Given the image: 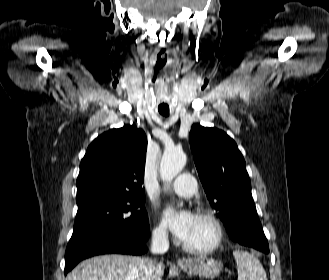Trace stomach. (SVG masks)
<instances>
[{
    "mask_svg": "<svg viewBox=\"0 0 329 280\" xmlns=\"http://www.w3.org/2000/svg\"><path fill=\"white\" fill-rule=\"evenodd\" d=\"M180 268L190 275L214 278L221 272L222 265L214 259L203 258L194 260L188 265H182Z\"/></svg>",
    "mask_w": 329,
    "mask_h": 280,
    "instance_id": "stomach-1",
    "label": "stomach"
}]
</instances>
